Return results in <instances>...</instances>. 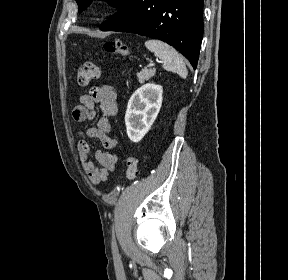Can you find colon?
<instances>
[{
  "label": "colon",
  "instance_id": "obj_1",
  "mask_svg": "<svg viewBox=\"0 0 288 280\" xmlns=\"http://www.w3.org/2000/svg\"><path fill=\"white\" fill-rule=\"evenodd\" d=\"M104 48L107 52L122 56L131 57L129 48L120 40H112L105 43ZM100 75V67L93 60L86 61L78 70L77 81L79 85H88ZM126 176L129 180H133L138 175L137 160L133 157H126Z\"/></svg>",
  "mask_w": 288,
  "mask_h": 280
}]
</instances>
